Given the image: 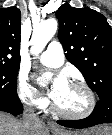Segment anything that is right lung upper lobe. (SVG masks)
<instances>
[{
	"mask_svg": "<svg viewBox=\"0 0 112 135\" xmlns=\"http://www.w3.org/2000/svg\"><path fill=\"white\" fill-rule=\"evenodd\" d=\"M20 24L17 7L0 8V63H20Z\"/></svg>",
	"mask_w": 112,
	"mask_h": 135,
	"instance_id": "right-lung-upper-lobe-1",
	"label": "right lung upper lobe"
}]
</instances>
